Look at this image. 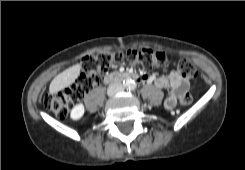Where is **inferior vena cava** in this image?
I'll list each match as a JSON object with an SVG mask.
<instances>
[{"label": "inferior vena cava", "instance_id": "inferior-vena-cava-1", "mask_svg": "<svg viewBox=\"0 0 245 170\" xmlns=\"http://www.w3.org/2000/svg\"><path fill=\"white\" fill-rule=\"evenodd\" d=\"M123 90V85L121 83H113L108 87V92L110 94H116Z\"/></svg>", "mask_w": 245, "mask_h": 170}]
</instances>
